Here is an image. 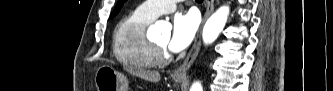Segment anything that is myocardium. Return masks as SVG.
<instances>
[{
  "instance_id": "myocardium-1",
  "label": "myocardium",
  "mask_w": 333,
  "mask_h": 91,
  "mask_svg": "<svg viewBox=\"0 0 333 91\" xmlns=\"http://www.w3.org/2000/svg\"><path fill=\"white\" fill-rule=\"evenodd\" d=\"M150 42L152 51H153V57H154V61L157 64H166L170 61L171 59V55L168 53V51L166 50V48H163L159 45H157L154 42Z\"/></svg>"
}]
</instances>
